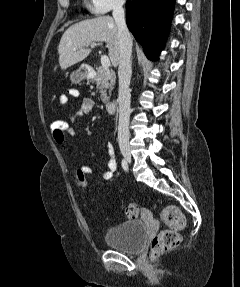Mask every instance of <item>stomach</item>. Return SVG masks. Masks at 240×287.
<instances>
[{"mask_svg":"<svg viewBox=\"0 0 240 287\" xmlns=\"http://www.w3.org/2000/svg\"><path fill=\"white\" fill-rule=\"evenodd\" d=\"M87 76L88 74H87L86 68L84 66H81L78 70L72 73L71 79L73 82L77 83L87 78Z\"/></svg>","mask_w":240,"mask_h":287,"instance_id":"1","label":"stomach"}]
</instances>
